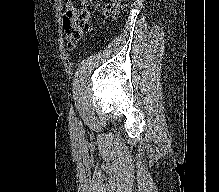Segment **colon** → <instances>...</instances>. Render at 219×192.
I'll list each match as a JSON object with an SVG mask.
<instances>
[{
    "label": "colon",
    "instance_id": "5ec220e1",
    "mask_svg": "<svg viewBox=\"0 0 219 192\" xmlns=\"http://www.w3.org/2000/svg\"><path fill=\"white\" fill-rule=\"evenodd\" d=\"M126 2L127 0H110L109 3L101 6L98 1L94 0H81V2L73 0V4L63 15L62 20L70 47L89 31L91 15L99 7L102 8L104 16L110 17L117 15L125 7Z\"/></svg>",
    "mask_w": 219,
    "mask_h": 192
}]
</instances>
